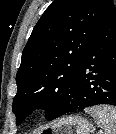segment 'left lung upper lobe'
<instances>
[{
	"instance_id": "obj_1",
	"label": "left lung upper lobe",
	"mask_w": 116,
	"mask_h": 134,
	"mask_svg": "<svg viewBox=\"0 0 116 134\" xmlns=\"http://www.w3.org/2000/svg\"><path fill=\"white\" fill-rule=\"evenodd\" d=\"M113 8V0H54L45 10L16 75L17 125L36 108H45L50 120L71 98L91 42Z\"/></svg>"
}]
</instances>
